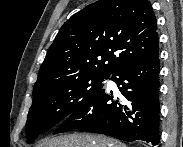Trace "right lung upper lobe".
I'll return each instance as SVG.
<instances>
[{
	"mask_svg": "<svg viewBox=\"0 0 183 147\" xmlns=\"http://www.w3.org/2000/svg\"><path fill=\"white\" fill-rule=\"evenodd\" d=\"M157 23L148 0H98L66 21L42 63L34 89L83 76L109 77L158 57Z\"/></svg>",
	"mask_w": 183,
	"mask_h": 147,
	"instance_id": "obj_1",
	"label": "right lung upper lobe"
}]
</instances>
